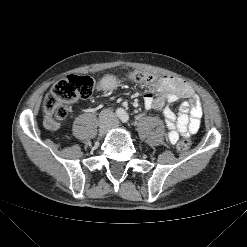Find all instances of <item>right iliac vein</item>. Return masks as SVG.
<instances>
[{"label": "right iliac vein", "mask_w": 247, "mask_h": 247, "mask_svg": "<svg viewBox=\"0 0 247 247\" xmlns=\"http://www.w3.org/2000/svg\"><path fill=\"white\" fill-rule=\"evenodd\" d=\"M109 126L106 122L101 121L99 124V133L100 135H104L106 131L108 130Z\"/></svg>", "instance_id": "obj_1"}]
</instances>
